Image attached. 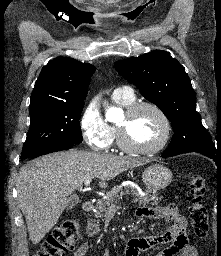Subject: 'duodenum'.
Segmentation results:
<instances>
[{
	"mask_svg": "<svg viewBox=\"0 0 221 256\" xmlns=\"http://www.w3.org/2000/svg\"><path fill=\"white\" fill-rule=\"evenodd\" d=\"M94 208V203L92 201H85L83 204H82V209L85 211V212H90L92 211Z\"/></svg>",
	"mask_w": 221,
	"mask_h": 256,
	"instance_id": "1",
	"label": "duodenum"
}]
</instances>
